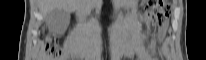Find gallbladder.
<instances>
[{
	"instance_id": "1",
	"label": "gallbladder",
	"mask_w": 206,
	"mask_h": 60,
	"mask_svg": "<svg viewBox=\"0 0 206 60\" xmlns=\"http://www.w3.org/2000/svg\"><path fill=\"white\" fill-rule=\"evenodd\" d=\"M70 20V13L65 10L55 9L46 15V22L50 27L64 29Z\"/></svg>"
}]
</instances>
